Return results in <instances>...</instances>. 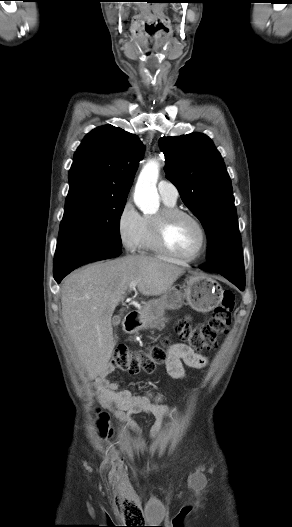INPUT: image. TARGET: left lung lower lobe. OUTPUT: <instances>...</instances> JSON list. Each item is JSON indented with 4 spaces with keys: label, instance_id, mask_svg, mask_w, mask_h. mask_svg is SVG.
I'll list each match as a JSON object with an SVG mask.
<instances>
[{
    "label": "left lung lower lobe",
    "instance_id": "0a47b994",
    "mask_svg": "<svg viewBox=\"0 0 292 527\" xmlns=\"http://www.w3.org/2000/svg\"><path fill=\"white\" fill-rule=\"evenodd\" d=\"M200 269L221 274L240 290L245 289L243 257H223L200 266Z\"/></svg>",
    "mask_w": 292,
    "mask_h": 527
}]
</instances>
